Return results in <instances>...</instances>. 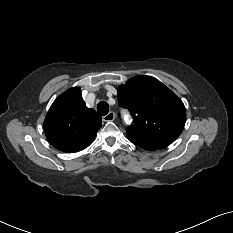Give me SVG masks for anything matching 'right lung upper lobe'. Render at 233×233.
I'll list each match as a JSON object with an SVG mask.
<instances>
[{"label":"right lung upper lobe","instance_id":"cb5924a9","mask_svg":"<svg viewBox=\"0 0 233 233\" xmlns=\"http://www.w3.org/2000/svg\"><path fill=\"white\" fill-rule=\"evenodd\" d=\"M101 125V117L85 105L80 88L73 87L53 102L43 127L56 149L78 152L91 144Z\"/></svg>","mask_w":233,"mask_h":233}]
</instances>
